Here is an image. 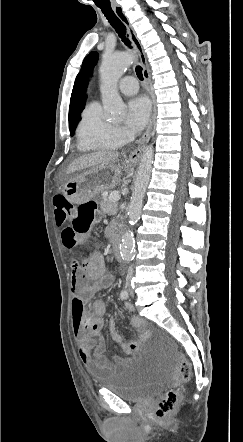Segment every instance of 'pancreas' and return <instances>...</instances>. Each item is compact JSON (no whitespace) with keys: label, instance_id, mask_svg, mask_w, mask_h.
<instances>
[{"label":"pancreas","instance_id":"pancreas-1","mask_svg":"<svg viewBox=\"0 0 243 442\" xmlns=\"http://www.w3.org/2000/svg\"><path fill=\"white\" fill-rule=\"evenodd\" d=\"M100 208L104 213H107L109 215H115L118 211V203L117 202H111L108 199H104L100 203Z\"/></svg>","mask_w":243,"mask_h":442}]
</instances>
